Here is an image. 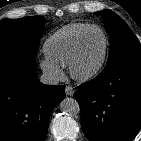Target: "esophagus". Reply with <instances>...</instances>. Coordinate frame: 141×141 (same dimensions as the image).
<instances>
[{
  "mask_svg": "<svg viewBox=\"0 0 141 141\" xmlns=\"http://www.w3.org/2000/svg\"><path fill=\"white\" fill-rule=\"evenodd\" d=\"M65 93L68 96H73L74 95V89H73V87L72 86H66Z\"/></svg>",
  "mask_w": 141,
  "mask_h": 141,
  "instance_id": "34e87169",
  "label": "esophagus"
}]
</instances>
